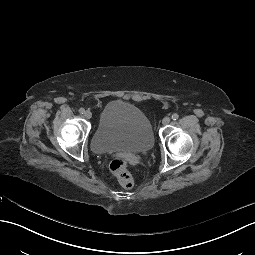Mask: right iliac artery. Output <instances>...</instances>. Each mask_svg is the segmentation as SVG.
Masks as SVG:
<instances>
[{
    "label": "right iliac artery",
    "instance_id": "obj_1",
    "mask_svg": "<svg viewBox=\"0 0 255 255\" xmlns=\"http://www.w3.org/2000/svg\"><path fill=\"white\" fill-rule=\"evenodd\" d=\"M84 112H85V109H84V108H80V109H79V113H80V114H84Z\"/></svg>",
    "mask_w": 255,
    "mask_h": 255
}]
</instances>
